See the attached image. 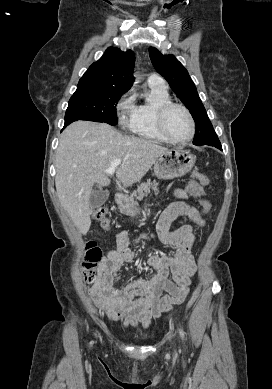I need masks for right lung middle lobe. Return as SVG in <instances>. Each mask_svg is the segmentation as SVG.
Returning <instances> with one entry per match:
<instances>
[{"mask_svg":"<svg viewBox=\"0 0 272 389\" xmlns=\"http://www.w3.org/2000/svg\"><path fill=\"white\" fill-rule=\"evenodd\" d=\"M125 92L116 88L78 85L69 100L65 120H89L116 125V104Z\"/></svg>","mask_w":272,"mask_h":389,"instance_id":"dd1d6c3e","label":"right lung middle lobe"}]
</instances>
